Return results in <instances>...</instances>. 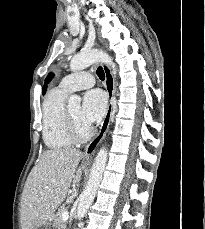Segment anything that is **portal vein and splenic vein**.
I'll return each mask as SVG.
<instances>
[{
    "label": "portal vein and splenic vein",
    "instance_id": "obj_1",
    "mask_svg": "<svg viewBox=\"0 0 205 229\" xmlns=\"http://www.w3.org/2000/svg\"><path fill=\"white\" fill-rule=\"evenodd\" d=\"M61 218L64 220V221H67L69 219V213L68 212H63L61 214Z\"/></svg>",
    "mask_w": 205,
    "mask_h": 229
}]
</instances>
